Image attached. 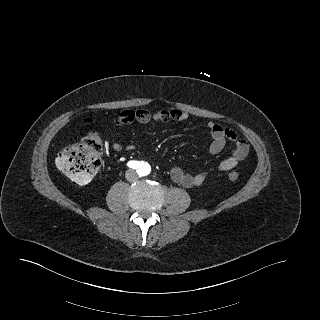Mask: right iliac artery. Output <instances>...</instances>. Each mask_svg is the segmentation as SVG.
Segmentation results:
<instances>
[{
  "instance_id": "right-iliac-artery-1",
  "label": "right iliac artery",
  "mask_w": 320,
  "mask_h": 320,
  "mask_svg": "<svg viewBox=\"0 0 320 320\" xmlns=\"http://www.w3.org/2000/svg\"><path fill=\"white\" fill-rule=\"evenodd\" d=\"M127 166H128L129 168H132V169H137V168H139L141 165H140V163H139L138 161L131 160V161H129V162L127 163Z\"/></svg>"
}]
</instances>
